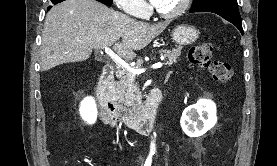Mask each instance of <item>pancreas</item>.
<instances>
[{
    "instance_id": "obj_1",
    "label": "pancreas",
    "mask_w": 277,
    "mask_h": 166,
    "mask_svg": "<svg viewBox=\"0 0 277 166\" xmlns=\"http://www.w3.org/2000/svg\"><path fill=\"white\" fill-rule=\"evenodd\" d=\"M160 55L167 58L166 65H172L177 62L180 57L181 48L172 50H160ZM143 60H137L136 68L140 67ZM134 75L123 67L117 68V80L113 83L114 99L119 103V107L128 112L131 116L136 117L143 112V107L139 103V98L134 94L136 92L132 84V77Z\"/></svg>"
}]
</instances>
